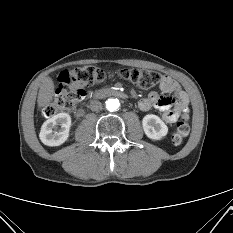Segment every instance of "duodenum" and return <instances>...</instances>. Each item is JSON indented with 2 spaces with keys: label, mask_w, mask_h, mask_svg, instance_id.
Listing matches in <instances>:
<instances>
[{
  "label": "duodenum",
  "mask_w": 233,
  "mask_h": 233,
  "mask_svg": "<svg viewBox=\"0 0 233 233\" xmlns=\"http://www.w3.org/2000/svg\"><path fill=\"white\" fill-rule=\"evenodd\" d=\"M110 96H116V97H120V98H127V96L119 91V90H115V89H100L95 91L92 95L91 98L92 99H100V98H105V97H110Z\"/></svg>",
  "instance_id": "duodenum-1"
}]
</instances>
